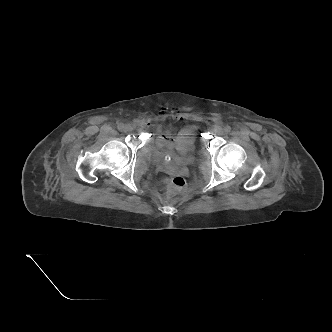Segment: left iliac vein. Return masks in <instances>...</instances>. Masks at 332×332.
Wrapping results in <instances>:
<instances>
[{"mask_svg":"<svg viewBox=\"0 0 332 332\" xmlns=\"http://www.w3.org/2000/svg\"><path fill=\"white\" fill-rule=\"evenodd\" d=\"M215 133H216L217 135H223V134H224V129H223L222 127H217V128L215 129Z\"/></svg>","mask_w":332,"mask_h":332,"instance_id":"4c4485c4","label":"left iliac vein"}]
</instances>
